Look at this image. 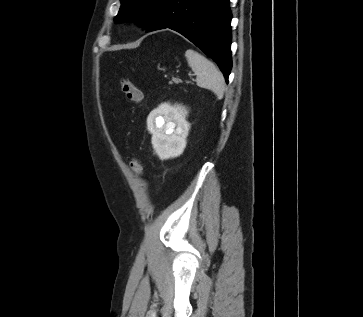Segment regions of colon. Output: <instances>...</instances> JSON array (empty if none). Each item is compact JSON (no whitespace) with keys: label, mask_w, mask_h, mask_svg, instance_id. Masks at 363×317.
I'll return each mask as SVG.
<instances>
[{"label":"colon","mask_w":363,"mask_h":317,"mask_svg":"<svg viewBox=\"0 0 363 317\" xmlns=\"http://www.w3.org/2000/svg\"><path fill=\"white\" fill-rule=\"evenodd\" d=\"M121 89L124 95L126 96L127 100L133 104H137L142 99V92L141 90L129 79H122L121 80ZM130 167L132 172L136 176H141L143 174V165L142 162L138 158L132 159L130 162Z\"/></svg>","instance_id":"5ec220e1"}]
</instances>
